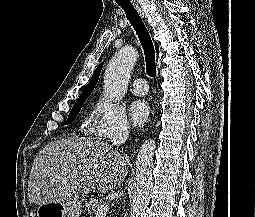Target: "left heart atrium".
<instances>
[{
    "label": "left heart atrium",
    "instance_id": "obj_1",
    "mask_svg": "<svg viewBox=\"0 0 255 217\" xmlns=\"http://www.w3.org/2000/svg\"><path fill=\"white\" fill-rule=\"evenodd\" d=\"M129 112L132 122L140 126L148 119L150 108L145 101L136 100L131 104Z\"/></svg>",
    "mask_w": 255,
    "mask_h": 217
}]
</instances>
